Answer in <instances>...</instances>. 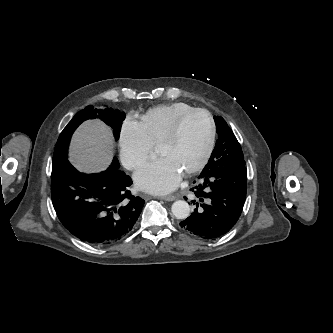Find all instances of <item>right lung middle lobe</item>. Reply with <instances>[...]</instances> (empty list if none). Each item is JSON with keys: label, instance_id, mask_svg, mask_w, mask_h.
<instances>
[{"label": "right lung middle lobe", "instance_id": "right-lung-middle-lobe-1", "mask_svg": "<svg viewBox=\"0 0 333 333\" xmlns=\"http://www.w3.org/2000/svg\"><path fill=\"white\" fill-rule=\"evenodd\" d=\"M100 118L107 125L113 128L115 139H119L122 121L125 118L124 112H119L118 110L107 108L104 110L94 109L93 106H87L84 110L79 111L73 119L68 123L60 134L56 147L54 150L53 161L67 157V150L71 136L75 129L85 120Z\"/></svg>", "mask_w": 333, "mask_h": 333}]
</instances>
